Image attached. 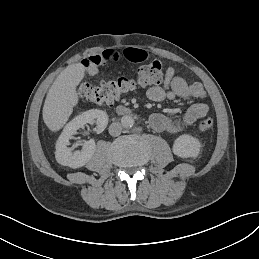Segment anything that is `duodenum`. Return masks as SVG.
<instances>
[{"mask_svg": "<svg viewBox=\"0 0 259 259\" xmlns=\"http://www.w3.org/2000/svg\"><path fill=\"white\" fill-rule=\"evenodd\" d=\"M116 112L118 113V115H122V116H124V115H131L132 114V110L131 109H129V108L125 107V106H122V105H120V106H118L116 108Z\"/></svg>", "mask_w": 259, "mask_h": 259, "instance_id": "410a0bca", "label": "duodenum"}]
</instances>
